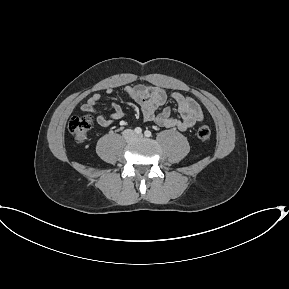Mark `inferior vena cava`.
<instances>
[{
    "mask_svg": "<svg viewBox=\"0 0 289 289\" xmlns=\"http://www.w3.org/2000/svg\"><path fill=\"white\" fill-rule=\"evenodd\" d=\"M134 133L131 129H127L123 132V136L125 139H128L130 136H132Z\"/></svg>",
    "mask_w": 289,
    "mask_h": 289,
    "instance_id": "602c4592",
    "label": "inferior vena cava"
}]
</instances>
